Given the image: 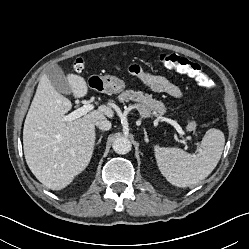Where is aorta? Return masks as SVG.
<instances>
[{"mask_svg": "<svg viewBox=\"0 0 249 249\" xmlns=\"http://www.w3.org/2000/svg\"><path fill=\"white\" fill-rule=\"evenodd\" d=\"M113 150L117 154H127L131 148L132 144L131 141L127 137H118L113 142Z\"/></svg>", "mask_w": 249, "mask_h": 249, "instance_id": "762f6f07", "label": "aorta"}]
</instances>
